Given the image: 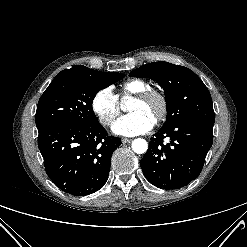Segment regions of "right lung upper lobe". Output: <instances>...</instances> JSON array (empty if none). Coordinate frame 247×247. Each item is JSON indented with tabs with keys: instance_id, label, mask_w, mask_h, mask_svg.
I'll return each mask as SVG.
<instances>
[{
	"instance_id": "cb5924a9",
	"label": "right lung upper lobe",
	"mask_w": 247,
	"mask_h": 247,
	"mask_svg": "<svg viewBox=\"0 0 247 247\" xmlns=\"http://www.w3.org/2000/svg\"><path fill=\"white\" fill-rule=\"evenodd\" d=\"M76 66H82V67H85V66H83V65H76ZM85 68H87V67H85ZM87 69H89V68H87ZM89 70H92V71H94V72H99V71H96V70H93V69H89Z\"/></svg>"
}]
</instances>
